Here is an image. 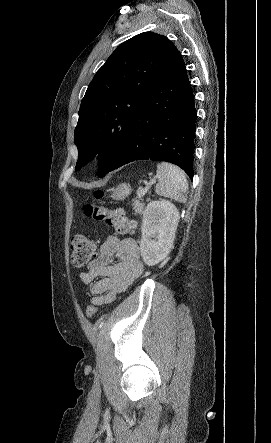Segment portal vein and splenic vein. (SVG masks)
Returning <instances> with one entry per match:
<instances>
[{"instance_id": "portal-vein-and-splenic-vein-1", "label": "portal vein and splenic vein", "mask_w": 271, "mask_h": 443, "mask_svg": "<svg viewBox=\"0 0 271 443\" xmlns=\"http://www.w3.org/2000/svg\"><path fill=\"white\" fill-rule=\"evenodd\" d=\"M156 182V178H153V180H150V182L145 183V185L143 187H141V189L139 190V193L137 194V197L139 199H142L146 194H148L149 192H151L153 185Z\"/></svg>"}]
</instances>
